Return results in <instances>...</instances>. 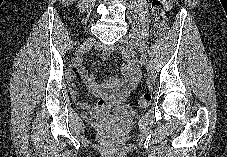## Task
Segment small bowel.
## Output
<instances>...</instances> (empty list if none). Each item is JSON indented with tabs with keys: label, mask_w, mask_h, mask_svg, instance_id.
I'll return each instance as SVG.
<instances>
[{
	"label": "small bowel",
	"mask_w": 227,
	"mask_h": 157,
	"mask_svg": "<svg viewBox=\"0 0 227 157\" xmlns=\"http://www.w3.org/2000/svg\"><path fill=\"white\" fill-rule=\"evenodd\" d=\"M162 3L166 9L171 8V0H162ZM105 54H108V51H106ZM125 61L126 63L123 67V80L109 79L101 84L97 83L94 76L90 74L82 65L77 66L73 71V75L75 77L82 78L90 88L91 92L99 98L96 104L77 101L79 107L86 110H96L104 107L108 101L125 100L130 94L131 90L137 85L140 77L139 66L135 57L131 53H126ZM70 92L72 98L76 99L78 92L76 86L73 83H71Z\"/></svg>",
	"instance_id": "small-bowel-1"
}]
</instances>
